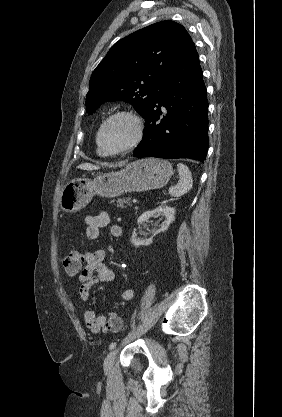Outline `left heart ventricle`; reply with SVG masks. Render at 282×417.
Listing matches in <instances>:
<instances>
[{
    "mask_svg": "<svg viewBox=\"0 0 282 417\" xmlns=\"http://www.w3.org/2000/svg\"><path fill=\"white\" fill-rule=\"evenodd\" d=\"M132 136V127L125 120L114 122L107 130L104 144L107 148H116L127 142Z\"/></svg>",
    "mask_w": 282,
    "mask_h": 417,
    "instance_id": "1",
    "label": "left heart ventricle"
}]
</instances>
